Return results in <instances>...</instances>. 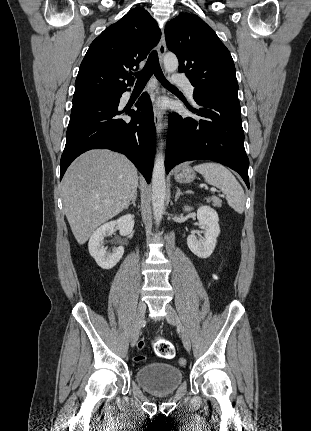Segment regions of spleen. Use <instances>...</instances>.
Listing matches in <instances>:
<instances>
[{"instance_id": "spleen-1", "label": "spleen", "mask_w": 311, "mask_h": 431, "mask_svg": "<svg viewBox=\"0 0 311 431\" xmlns=\"http://www.w3.org/2000/svg\"><path fill=\"white\" fill-rule=\"evenodd\" d=\"M194 170L202 174L206 184L219 188L222 194H225L230 208H233L237 214H243L246 202L244 190L227 168L221 164L207 162V164L194 166Z\"/></svg>"}]
</instances>
